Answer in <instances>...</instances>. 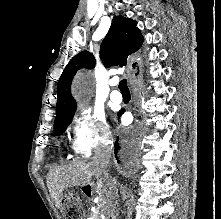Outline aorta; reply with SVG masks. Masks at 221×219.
<instances>
[{
    "label": "aorta",
    "mask_w": 221,
    "mask_h": 219,
    "mask_svg": "<svg viewBox=\"0 0 221 219\" xmlns=\"http://www.w3.org/2000/svg\"><path fill=\"white\" fill-rule=\"evenodd\" d=\"M91 81V78L87 75L78 76L75 93L79 98H86L90 94L92 90Z\"/></svg>",
    "instance_id": "obj_1"
}]
</instances>
